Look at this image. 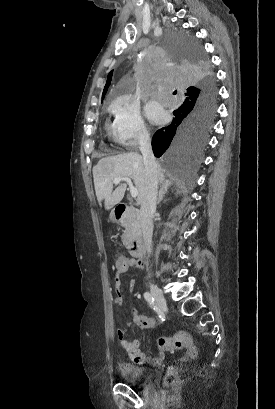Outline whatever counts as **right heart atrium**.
Wrapping results in <instances>:
<instances>
[{"label":"right heart atrium","mask_w":275,"mask_h":409,"mask_svg":"<svg viewBox=\"0 0 275 409\" xmlns=\"http://www.w3.org/2000/svg\"><path fill=\"white\" fill-rule=\"evenodd\" d=\"M115 129L123 152H135L150 138V127L140 109L128 100H120L113 108Z\"/></svg>","instance_id":"right-heart-atrium-1"}]
</instances>
